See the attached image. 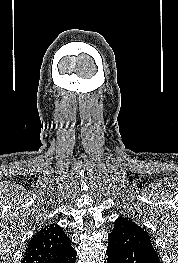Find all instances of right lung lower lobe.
I'll use <instances>...</instances> for the list:
<instances>
[{
  "label": "right lung lower lobe",
  "mask_w": 178,
  "mask_h": 263,
  "mask_svg": "<svg viewBox=\"0 0 178 263\" xmlns=\"http://www.w3.org/2000/svg\"><path fill=\"white\" fill-rule=\"evenodd\" d=\"M75 258H76V252L73 251L69 253L67 256L64 258L58 260L56 263H75Z\"/></svg>",
  "instance_id": "obj_1"
}]
</instances>
